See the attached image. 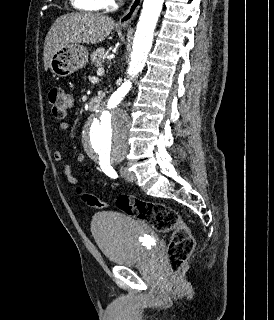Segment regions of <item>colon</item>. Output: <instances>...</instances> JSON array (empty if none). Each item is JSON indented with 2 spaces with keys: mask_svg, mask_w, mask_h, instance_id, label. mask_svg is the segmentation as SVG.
Returning <instances> with one entry per match:
<instances>
[{
  "mask_svg": "<svg viewBox=\"0 0 274 320\" xmlns=\"http://www.w3.org/2000/svg\"><path fill=\"white\" fill-rule=\"evenodd\" d=\"M48 100L55 117L63 118L72 105V100L63 87L49 89ZM83 198L88 205H95L97 200L89 194ZM115 205L127 215L142 220L162 234L172 233L168 247V264L170 270L179 272L193 253L195 242L189 226L184 223L179 213L170 206L140 198L119 197ZM110 203L99 201L100 208H108Z\"/></svg>",
  "mask_w": 274,
  "mask_h": 320,
  "instance_id": "obj_1",
  "label": "colon"
}]
</instances>
